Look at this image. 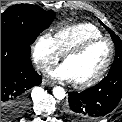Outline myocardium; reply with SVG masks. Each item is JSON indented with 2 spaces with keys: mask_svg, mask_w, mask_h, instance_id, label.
<instances>
[{
  "mask_svg": "<svg viewBox=\"0 0 122 122\" xmlns=\"http://www.w3.org/2000/svg\"><path fill=\"white\" fill-rule=\"evenodd\" d=\"M100 41L108 42L109 47H110L109 56H108L105 64L100 69V71L95 76H93L92 78H90L86 81H82V82H74L73 81L72 83H73L74 87L79 88V89L89 88L91 86H94L95 84H97L98 82H100L103 79V77L105 76V74L109 70L111 63L113 61L114 54H115V45H114V42L112 41V39H110L109 37L99 36V37L87 39V40L83 41L82 43L78 44L77 46L69 49L67 52H65L63 54L62 59H63V62H65V60L68 59L69 57L81 54L88 47H90L91 45H93L97 42H100Z\"/></svg>",
  "mask_w": 122,
  "mask_h": 122,
  "instance_id": "obj_1",
  "label": "myocardium"
}]
</instances>
